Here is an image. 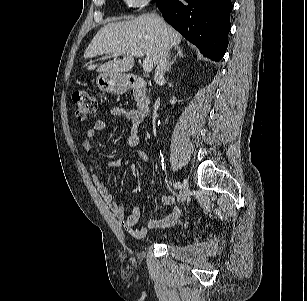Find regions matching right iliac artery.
<instances>
[{"instance_id": "1", "label": "right iliac artery", "mask_w": 307, "mask_h": 301, "mask_svg": "<svg viewBox=\"0 0 307 301\" xmlns=\"http://www.w3.org/2000/svg\"><path fill=\"white\" fill-rule=\"evenodd\" d=\"M173 187H174L175 189H180V188L182 187V185H181L180 182H174V183H173Z\"/></svg>"}]
</instances>
